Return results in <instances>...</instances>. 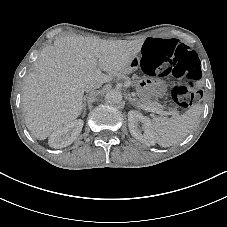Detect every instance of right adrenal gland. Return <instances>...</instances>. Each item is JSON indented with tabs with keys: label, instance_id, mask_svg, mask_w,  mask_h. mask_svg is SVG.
Instances as JSON below:
<instances>
[{
	"label": "right adrenal gland",
	"instance_id": "1",
	"mask_svg": "<svg viewBox=\"0 0 227 227\" xmlns=\"http://www.w3.org/2000/svg\"><path fill=\"white\" fill-rule=\"evenodd\" d=\"M86 115V102H85V97L83 99V116L82 118H84V116Z\"/></svg>",
	"mask_w": 227,
	"mask_h": 227
}]
</instances>
